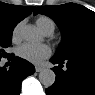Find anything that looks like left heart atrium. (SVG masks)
Segmentation results:
<instances>
[{
  "label": "left heart atrium",
  "mask_w": 95,
  "mask_h": 95,
  "mask_svg": "<svg viewBox=\"0 0 95 95\" xmlns=\"http://www.w3.org/2000/svg\"><path fill=\"white\" fill-rule=\"evenodd\" d=\"M17 54L20 58L30 63L38 64L50 56L51 50L47 45L44 44L35 45L25 43L17 49Z\"/></svg>",
  "instance_id": "1"
}]
</instances>
